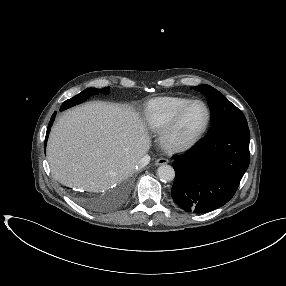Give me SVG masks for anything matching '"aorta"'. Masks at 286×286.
Segmentation results:
<instances>
[{
    "label": "aorta",
    "mask_w": 286,
    "mask_h": 286,
    "mask_svg": "<svg viewBox=\"0 0 286 286\" xmlns=\"http://www.w3.org/2000/svg\"><path fill=\"white\" fill-rule=\"evenodd\" d=\"M157 175L161 181L169 182L174 179L175 171L172 166L164 164L157 169Z\"/></svg>",
    "instance_id": "aorta-1"
}]
</instances>
